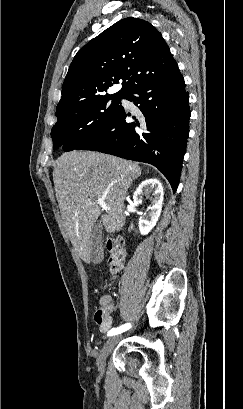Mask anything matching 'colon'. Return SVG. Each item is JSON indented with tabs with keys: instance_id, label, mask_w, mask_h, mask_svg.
<instances>
[{
	"instance_id": "colon-1",
	"label": "colon",
	"mask_w": 243,
	"mask_h": 409,
	"mask_svg": "<svg viewBox=\"0 0 243 409\" xmlns=\"http://www.w3.org/2000/svg\"><path fill=\"white\" fill-rule=\"evenodd\" d=\"M106 246L109 253L106 261V267L110 273L116 276L122 271L124 265L125 250L123 240L119 237L111 238L108 240ZM106 313V308H98L94 315L95 321L98 324H101L104 321Z\"/></svg>"
}]
</instances>
